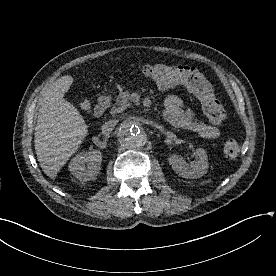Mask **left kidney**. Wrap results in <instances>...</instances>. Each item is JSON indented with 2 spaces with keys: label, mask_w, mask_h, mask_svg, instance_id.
Returning a JSON list of instances; mask_svg holds the SVG:
<instances>
[{
  "label": "left kidney",
  "mask_w": 276,
  "mask_h": 276,
  "mask_svg": "<svg viewBox=\"0 0 276 276\" xmlns=\"http://www.w3.org/2000/svg\"><path fill=\"white\" fill-rule=\"evenodd\" d=\"M196 155L199 158L193 161L190 166L186 165L185 161L176 154H172L168 158V162L172 169L184 178H200L208 171V157L204 149H196Z\"/></svg>",
  "instance_id": "obj_1"
}]
</instances>
